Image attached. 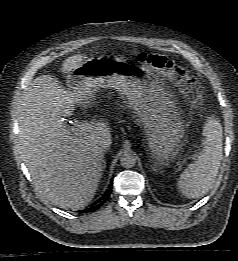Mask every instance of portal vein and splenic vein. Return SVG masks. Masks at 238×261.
Returning <instances> with one entry per match:
<instances>
[{"label": "portal vein and splenic vein", "instance_id": "18ae733b", "mask_svg": "<svg viewBox=\"0 0 238 261\" xmlns=\"http://www.w3.org/2000/svg\"><path fill=\"white\" fill-rule=\"evenodd\" d=\"M91 129V125L88 123H79L76 124L73 128L72 131L76 134H82L84 132H88Z\"/></svg>", "mask_w": 238, "mask_h": 261}]
</instances>
